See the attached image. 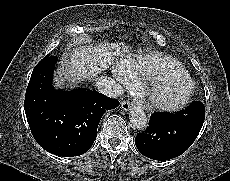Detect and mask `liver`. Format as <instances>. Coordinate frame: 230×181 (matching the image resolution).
<instances>
[{"instance_id":"obj_1","label":"liver","mask_w":230,"mask_h":181,"mask_svg":"<svg viewBox=\"0 0 230 181\" xmlns=\"http://www.w3.org/2000/svg\"><path fill=\"white\" fill-rule=\"evenodd\" d=\"M106 46V45H105ZM110 46L103 45L96 47L76 46L60 62V68L57 71L59 76L56 78L57 83H77L85 79L97 76L107 63H110L112 56Z\"/></svg>"}]
</instances>
